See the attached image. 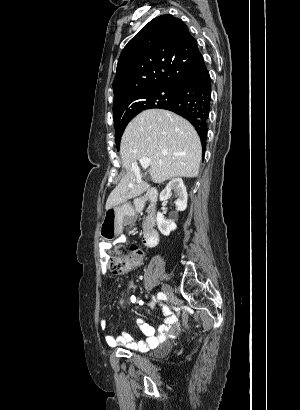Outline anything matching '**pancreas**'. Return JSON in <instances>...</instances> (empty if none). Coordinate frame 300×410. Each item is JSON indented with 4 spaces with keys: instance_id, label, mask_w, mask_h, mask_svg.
<instances>
[{
    "instance_id": "1",
    "label": "pancreas",
    "mask_w": 300,
    "mask_h": 410,
    "mask_svg": "<svg viewBox=\"0 0 300 410\" xmlns=\"http://www.w3.org/2000/svg\"><path fill=\"white\" fill-rule=\"evenodd\" d=\"M143 229L145 230V225H143Z\"/></svg>"
}]
</instances>
